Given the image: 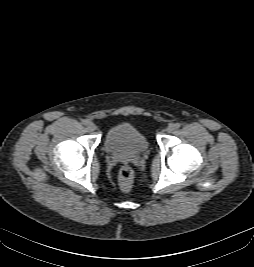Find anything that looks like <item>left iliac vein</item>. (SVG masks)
Segmentation results:
<instances>
[{"label": "left iliac vein", "instance_id": "left-iliac-vein-1", "mask_svg": "<svg viewBox=\"0 0 254 267\" xmlns=\"http://www.w3.org/2000/svg\"><path fill=\"white\" fill-rule=\"evenodd\" d=\"M175 129H176L175 124H169L168 127H167V129H166V131L168 133H172Z\"/></svg>", "mask_w": 254, "mask_h": 267}]
</instances>
